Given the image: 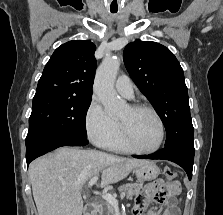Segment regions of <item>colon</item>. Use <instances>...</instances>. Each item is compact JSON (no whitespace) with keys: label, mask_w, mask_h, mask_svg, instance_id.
I'll return each instance as SVG.
<instances>
[{"label":"colon","mask_w":223,"mask_h":215,"mask_svg":"<svg viewBox=\"0 0 223 215\" xmlns=\"http://www.w3.org/2000/svg\"><path fill=\"white\" fill-rule=\"evenodd\" d=\"M164 175L168 178V179H174L176 174L170 169V168H165L164 170Z\"/></svg>","instance_id":"1"}]
</instances>
